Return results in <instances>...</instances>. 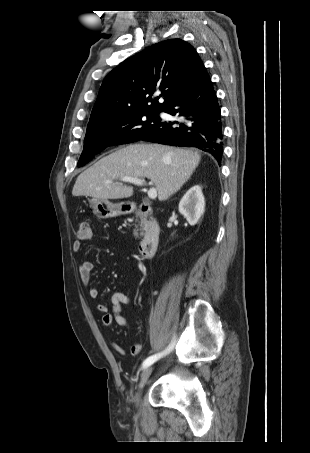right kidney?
<instances>
[{
	"mask_svg": "<svg viewBox=\"0 0 310 453\" xmlns=\"http://www.w3.org/2000/svg\"><path fill=\"white\" fill-rule=\"evenodd\" d=\"M204 208L205 199L199 185L191 187L179 203V212L186 218L191 226L199 221L204 213Z\"/></svg>",
	"mask_w": 310,
	"mask_h": 453,
	"instance_id": "obj_1",
	"label": "right kidney"
}]
</instances>
